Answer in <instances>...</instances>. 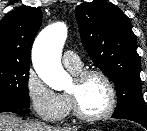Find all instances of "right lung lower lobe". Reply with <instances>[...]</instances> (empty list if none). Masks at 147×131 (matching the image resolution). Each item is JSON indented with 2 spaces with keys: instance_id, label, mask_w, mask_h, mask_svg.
<instances>
[{
  "instance_id": "obj_1",
  "label": "right lung lower lobe",
  "mask_w": 147,
  "mask_h": 131,
  "mask_svg": "<svg viewBox=\"0 0 147 131\" xmlns=\"http://www.w3.org/2000/svg\"><path fill=\"white\" fill-rule=\"evenodd\" d=\"M22 107L15 106L9 103H0V113L1 112H17L18 110H22Z\"/></svg>"
}]
</instances>
